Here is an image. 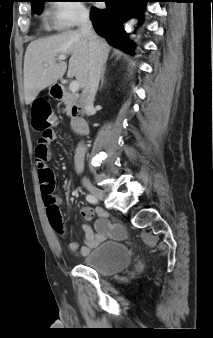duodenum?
Segmentation results:
<instances>
[{
    "mask_svg": "<svg viewBox=\"0 0 213 338\" xmlns=\"http://www.w3.org/2000/svg\"><path fill=\"white\" fill-rule=\"evenodd\" d=\"M52 95L55 100H66L70 103L74 127L77 128L82 134H86L88 123L82 116L83 107L81 103V97L78 94L67 90L62 85H55L52 89Z\"/></svg>",
    "mask_w": 213,
    "mask_h": 338,
    "instance_id": "duodenum-1",
    "label": "duodenum"
}]
</instances>
